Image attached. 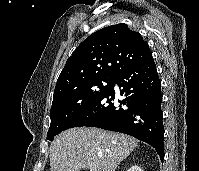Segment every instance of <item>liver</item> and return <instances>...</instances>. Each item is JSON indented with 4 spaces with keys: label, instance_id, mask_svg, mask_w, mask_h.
Returning a JSON list of instances; mask_svg holds the SVG:
<instances>
[{
    "label": "liver",
    "instance_id": "liver-1",
    "mask_svg": "<svg viewBox=\"0 0 199 171\" xmlns=\"http://www.w3.org/2000/svg\"><path fill=\"white\" fill-rule=\"evenodd\" d=\"M122 133L79 127L60 133L50 145V171H115L138 145Z\"/></svg>",
    "mask_w": 199,
    "mask_h": 171
}]
</instances>
